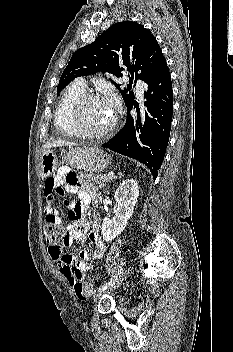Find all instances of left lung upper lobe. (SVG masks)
<instances>
[{
	"mask_svg": "<svg viewBox=\"0 0 233 352\" xmlns=\"http://www.w3.org/2000/svg\"><path fill=\"white\" fill-rule=\"evenodd\" d=\"M166 62L154 35L143 25L132 21L116 23L102 33L93 43L78 49L64 69L57 94L74 78L107 72L116 77L125 68L135 78L146 82ZM112 81V80H111ZM119 89L114 81H112ZM131 88L120 90L126 106L134 100Z\"/></svg>",
	"mask_w": 233,
	"mask_h": 352,
	"instance_id": "5c2ea615",
	"label": "left lung upper lobe"
}]
</instances>
